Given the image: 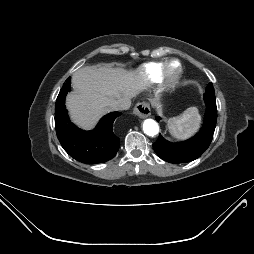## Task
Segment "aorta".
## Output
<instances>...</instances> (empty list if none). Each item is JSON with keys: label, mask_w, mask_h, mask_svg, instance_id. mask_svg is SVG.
Instances as JSON below:
<instances>
[{"label": "aorta", "mask_w": 254, "mask_h": 254, "mask_svg": "<svg viewBox=\"0 0 254 254\" xmlns=\"http://www.w3.org/2000/svg\"><path fill=\"white\" fill-rule=\"evenodd\" d=\"M143 131L149 136H155L159 132V126L156 121L146 119L143 123Z\"/></svg>", "instance_id": "1"}]
</instances>
